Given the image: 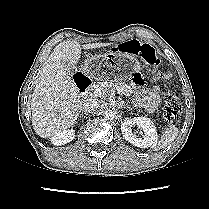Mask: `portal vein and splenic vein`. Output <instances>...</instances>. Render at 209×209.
<instances>
[{"label": "portal vein and splenic vein", "instance_id": "1", "mask_svg": "<svg viewBox=\"0 0 209 209\" xmlns=\"http://www.w3.org/2000/svg\"><path fill=\"white\" fill-rule=\"evenodd\" d=\"M115 89L118 91L119 94L123 95L124 94V91L121 87H115ZM106 92V89L105 88H96L94 89V92H93V95L96 96V97H101L105 94Z\"/></svg>", "mask_w": 209, "mask_h": 209}]
</instances>
